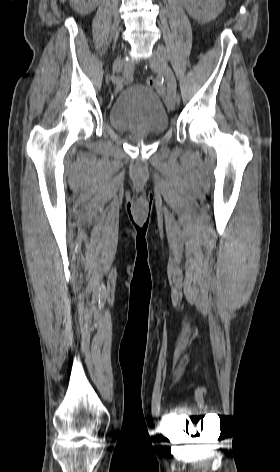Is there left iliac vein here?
Instances as JSON below:
<instances>
[{
	"instance_id": "obj_1",
	"label": "left iliac vein",
	"mask_w": 280,
	"mask_h": 472,
	"mask_svg": "<svg viewBox=\"0 0 280 472\" xmlns=\"http://www.w3.org/2000/svg\"><path fill=\"white\" fill-rule=\"evenodd\" d=\"M164 47L159 46L157 50L153 51L149 59V64L152 68L162 73L167 82L166 105L169 110H174L177 97V84L173 71L164 59Z\"/></svg>"
}]
</instances>
